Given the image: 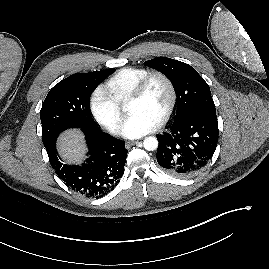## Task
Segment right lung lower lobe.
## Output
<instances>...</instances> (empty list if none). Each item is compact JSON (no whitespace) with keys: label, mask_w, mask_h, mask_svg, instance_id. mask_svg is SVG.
Listing matches in <instances>:
<instances>
[{"label":"right lung lower lobe","mask_w":269,"mask_h":269,"mask_svg":"<svg viewBox=\"0 0 269 269\" xmlns=\"http://www.w3.org/2000/svg\"><path fill=\"white\" fill-rule=\"evenodd\" d=\"M81 130L89 150V157L81 166L67 165L61 161L56 150L58 136L45 148L52 168L68 187L86 197L99 198L119 183L128 151L124 141L102 132L99 127Z\"/></svg>","instance_id":"1"}]
</instances>
